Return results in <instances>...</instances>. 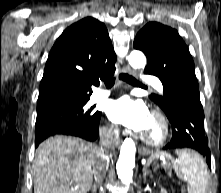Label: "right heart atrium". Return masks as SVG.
Here are the masks:
<instances>
[{
  "mask_svg": "<svg viewBox=\"0 0 221 193\" xmlns=\"http://www.w3.org/2000/svg\"><path fill=\"white\" fill-rule=\"evenodd\" d=\"M101 134L104 137L113 139L118 135V131H117V128L114 125H112L110 123H106L101 128Z\"/></svg>",
  "mask_w": 221,
  "mask_h": 193,
  "instance_id": "right-heart-atrium-1",
  "label": "right heart atrium"
}]
</instances>
